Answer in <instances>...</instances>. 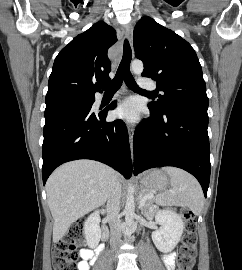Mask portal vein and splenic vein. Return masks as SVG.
I'll list each match as a JSON object with an SVG mask.
<instances>
[{
  "instance_id": "18ae733b",
  "label": "portal vein and splenic vein",
  "mask_w": 242,
  "mask_h": 270,
  "mask_svg": "<svg viewBox=\"0 0 242 270\" xmlns=\"http://www.w3.org/2000/svg\"><path fill=\"white\" fill-rule=\"evenodd\" d=\"M153 196H150V195H146V196H144L143 198H142V200H141V206L146 202V200L148 199V198H152Z\"/></svg>"
}]
</instances>
